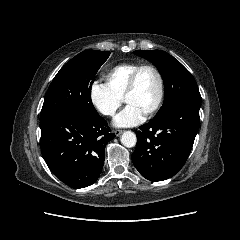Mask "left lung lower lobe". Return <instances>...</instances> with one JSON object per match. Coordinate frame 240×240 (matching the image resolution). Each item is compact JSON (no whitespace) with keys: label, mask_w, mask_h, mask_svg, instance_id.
Here are the masks:
<instances>
[{"label":"left lung lower lobe","mask_w":240,"mask_h":240,"mask_svg":"<svg viewBox=\"0 0 240 240\" xmlns=\"http://www.w3.org/2000/svg\"><path fill=\"white\" fill-rule=\"evenodd\" d=\"M199 101L172 104L136 132L137 144L132 161L150 181L168 179L185 164L199 126Z\"/></svg>","instance_id":"0a47b994"}]
</instances>
